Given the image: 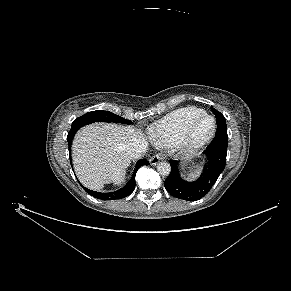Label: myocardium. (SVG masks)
Instances as JSON below:
<instances>
[{"mask_svg":"<svg viewBox=\"0 0 291 291\" xmlns=\"http://www.w3.org/2000/svg\"><path fill=\"white\" fill-rule=\"evenodd\" d=\"M205 119H211V129L202 137H197L196 130L200 123ZM216 132V120L212 115L203 114L195 119L187 128L183 136L176 142L181 151L186 153L195 152L206 144L214 137Z\"/></svg>","mask_w":291,"mask_h":291,"instance_id":"1","label":"myocardium"}]
</instances>
